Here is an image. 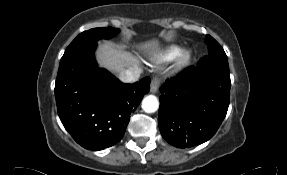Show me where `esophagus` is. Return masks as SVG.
Returning <instances> with one entry per match:
<instances>
[{
  "label": "esophagus",
  "mask_w": 287,
  "mask_h": 175,
  "mask_svg": "<svg viewBox=\"0 0 287 175\" xmlns=\"http://www.w3.org/2000/svg\"><path fill=\"white\" fill-rule=\"evenodd\" d=\"M161 80L159 78H154L151 81V85H150V92L151 93H156L158 91V88L160 86Z\"/></svg>",
  "instance_id": "34e87169"
}]
</instances>
